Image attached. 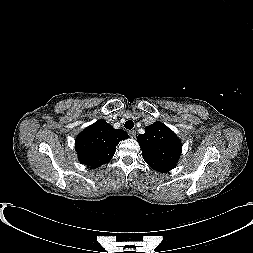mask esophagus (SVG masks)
I'll return each instance as SVG.
<instances>
[{"label": "esophagus", "instance_id": "esophagus-1", "mask_svg": "<svg viewBox=\"0 0 253 253\" xmlns=\"http://www.w3.org/2000/svg\"><path fill=\"white\" fill-rule=\"evenodd\" d=\"M129 136L134 138L136 136V131L135 130H131L128 132Z\"/></svg>", "mask_w": 253, "mask_h": 253}]
</instances>
